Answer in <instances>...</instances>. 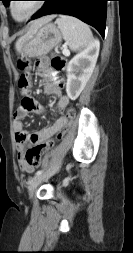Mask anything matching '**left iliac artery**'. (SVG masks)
I'll use <instances>...</instances> for the list:
<instances>
[{
    "label": "left iliac artery",
    "mask_w": 133,
    "mask_h": 253,
    "mask_svg": "<svg viewBox=\"0 0 133 253\" xmlns=\"http://www.w3.org/2000/svg\"><path fill=\"white\" fill-rule=\"evenodd\" d=\"M43 172H44L43 170H39V171H37V172L35 173V176L41 175Z\"/></svg>",
    "instance_id": "obj_1"
}]
</instances>
